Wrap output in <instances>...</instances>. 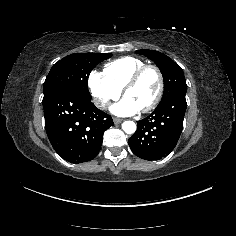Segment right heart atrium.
Wrapping results in <instances>:
<instances>
[{
  "label": "right heart atrium",
  "instance_id": "d8ad5b80",
  "mask_svg": "<svg viewBox=\"0 0 236 236\" xmlns=\"http://www.w3.org/2000/svg\"><path fill=\"white\" fill-rule=\"evenodd\" d=\"M88 87L95 105L102 110L107 109L110 103L121 95V91L117 90L102 72L96 70L89 74Z\"/></svg>",
  "mask_w": 236,
  "mask_h": 236
}]
</instances>
